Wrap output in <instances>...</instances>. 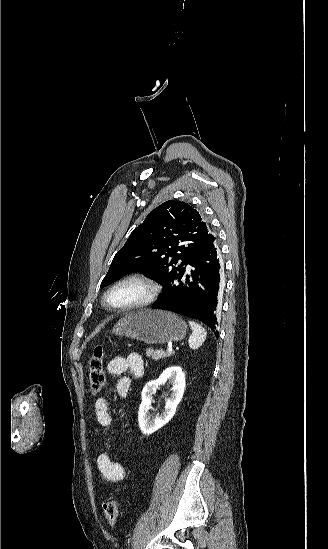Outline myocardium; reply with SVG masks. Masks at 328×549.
<instances>
[{
  "label": "myocardium",
  "mask_w": 328,
  "mask_h": 549,
  "mask_svg": "<svg viewBox=\"0 0 328 549\" xmlns=\"http://www.w3.org/2000/svg\"><path fill=\"white\" fill-rule=\"evenodd\" d=\"M129 282L140 284L143 288V294L135 300L124 303H115L111 301V296L120 287ZM159 292L160 284L152 276L141 271H130L116 279L105 289L101 297V305L104 310L114 314L144 310L155 302Z\"/></svg>",
  "instance_id": "f54148a6"
}]
</instances>
